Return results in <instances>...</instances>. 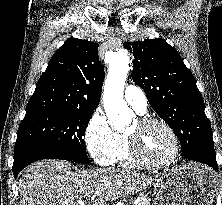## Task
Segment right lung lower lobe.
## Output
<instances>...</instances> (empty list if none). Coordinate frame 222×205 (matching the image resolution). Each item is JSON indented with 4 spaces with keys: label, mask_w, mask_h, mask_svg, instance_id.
Masks as SVG:
<instances>
[{
    "label": "right lung lower lobe",
    "mask_w": 222,
    "mask_h": 205,
    "mask_svg": "<svg viewBox=\"0 0 222 205\" xmlns=\"http://www.w3.org/2000/svg\"><path fill=\"white\" fill-rule=\"evenodd\" d=\"M49 158L69 160L64 153L45 146L30 145L15 149L13 163L14 176L16 177L30 163Z\"/></svg>",
    "instance_id": "98d812e1"
}]
</instances>
